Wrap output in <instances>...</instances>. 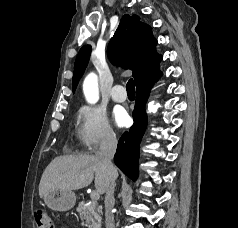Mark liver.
<instances>
[{
  "label": "liver",
  "mask_w": 238,
  "mask_h": 228,
  "mask_svg": "<svg viewBox=\"0 0 238 228\" xmlns=\"http://www.w3.org/2000/svg\"><path fill=\"white\" fill-rule=\"evenodd\" d=\"M111 176L103 160L96 155L59 156L53 159L43 172L39 195L44 198L50 190H78L90 185L93 179L97 192L103 194ZM113 176L117 178V171Z\"/></svg>",
  "instance_id": "liver-1"
}]
</instances>
